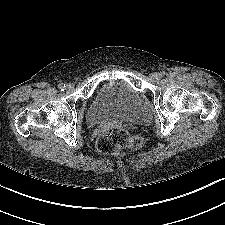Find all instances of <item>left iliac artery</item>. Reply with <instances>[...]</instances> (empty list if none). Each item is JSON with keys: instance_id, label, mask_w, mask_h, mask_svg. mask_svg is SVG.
Here are the masks:
<instances>
[{"instance_id": "44dca946", "label": "left iliac artery", "mask_w": 225, "mask_h": 225, "mask_svg": "<svg viewBox=\"0 0 225 225\" xmlns=\"http://www.w3.org/2000/svg\"><path fill=\"white\" fill-rule=\"evenodd\" d=\"M160 77H163L165 75V72L162 71L161 73H159Z\"/></svg>"}]
</instances>
